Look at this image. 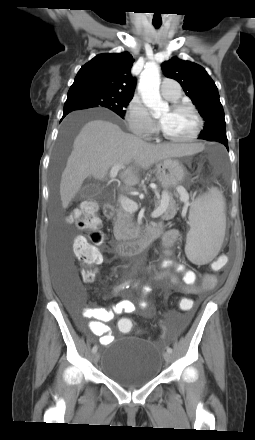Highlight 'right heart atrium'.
I'll use <instances>...</instances> for the list:
<instances>
[{
  "label": "right heart atrium",
  "mask_w": 255,
  "mask_h": 440,
  "mask_svg": "<svg viewBox=\"0 0 255 440\" xmlns=\"http://www.w3.org/2000/svg\"><path fill=\"white\" fill-rule=\"evenodd\" d=\"M126 120L129 130L136 135L149 136L155 131L146 107L138 98L132 99L129 103Z\"/></svg>",
  "instance_id": "1"
}]
</instances>
